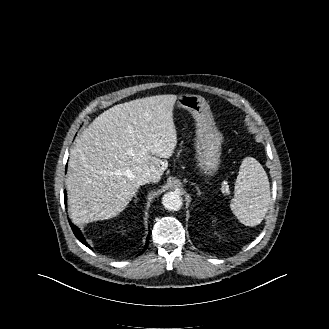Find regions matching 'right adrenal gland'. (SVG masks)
I'll return each mask as SVG.
<instances>
[{
    "instance_id": "obj_1",
    "label": "right adrenal gland",
    "mask_w": 329,
    "mask_h": 329,
    "mask_svg": "<svg viewBox=\"0 0 329 329\" xmlns=\"http://www.w3.org/2000/svg\"><path fill=\"white\" fill-rule=\"evenodd\" d=\"M135 199H134V203H137V200H138V198H137V195L135 194Z\"/></svg>"
}]
</instances>
